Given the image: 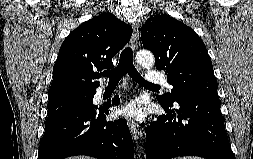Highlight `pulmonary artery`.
Instances as JSON below:
<instances>
[{
  "label": "pulmonary artery",
  "instance_id": "1",
  "mask_svg": "<svg viewBox=\"0 0 253 159\" xmlns=\"http://www.w3.org/2000/svg\"><path fill=\"white\" fill-rule=\"evenodd\" d=\"M145 80L151 85H163L169 90L173 88L172 84L167 81L166 74L162 71L149 70Z\"/></svg>",
  "mask_w": 253,
  "mask_h": 159
}]
</instances>
